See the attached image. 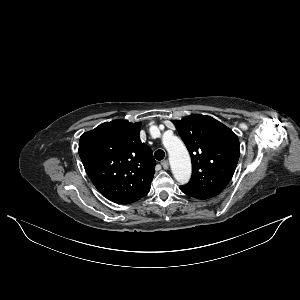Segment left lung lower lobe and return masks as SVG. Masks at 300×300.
Wrapping results in <instances>:
<instances>
[{
  "instance_id": "obj_1",
  "label": "left lung lower lobe",
  "mask_w": 300,
  "mask_h": 300,
  "mask_svg": "<svg viewBox=\"0 0 300 300\" xmlns=\"http://www.w3.org/2000/svg\"><path fill=\"white\" fill-rule=\"evenodd\" d=\"M180 190L183 193H185V194H187V195H189L191 197L197 198V199H208V198H211V197H205V196H202V195H199V194H195V193H193L191 191H188L187 189L183 188L182 186H180Z\"/></svg>"
}]
</instances>
